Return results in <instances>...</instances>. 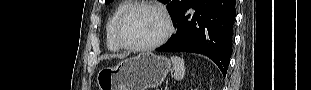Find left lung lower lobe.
<instances>
[{
  "instance_id": "0a47b994",
  "label": "left lung lower lobe",
  "mask_w": 311,
  "mask_h": 90,
  "mask_svg": "<svg viewBox=\"0 0 311 90\" xmlns=\"http://www.w3.org/2000/svg\"><path fill=\"white\" fill-rule=\"evenodd\" d=\"M235 0H192L177 18L174 37L156 51L200 53L226 76L231 57ZM192 8L191 15L188 10Z\"/></svg>"
}]
</instances>
